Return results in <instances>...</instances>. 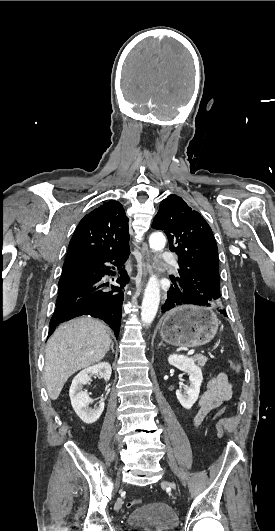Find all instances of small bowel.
<instances>
[{
	"label": "small bowel",
	"mask_w": 275,
	"mask_h": 531,
	"mask_svg": "<svg viewBox=\"0 0 275 531\" xmlns=\"http://www.w3.org/2000/svg\"><path fill=\"white\" fill-rule=\"evenodd\" d=\"M233 397V384L225 372H218L206 383L205 390L199 397L193 426H200L208 414Z\"/></svg>",
	"instance_id": "1"
}]
</instances>
